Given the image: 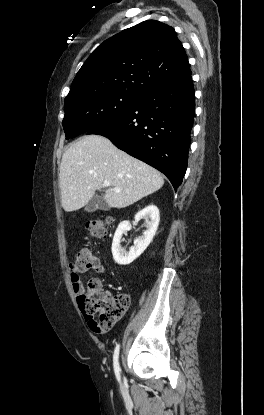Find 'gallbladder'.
I'll use <instances>...</instances> for the list:
<instances>
[{
  "label": "gallbladder",
  "instance_id": "1",
  "mask_svg": "<svg viewBox=\"0 0 264 415\" xmlns=\"http://www.w3.org/2000/svg\"><path fill=\"white\" fill-rule=\"evenodd\" d=\"M108 208V204L100 196H94L85 206L87 212H94L97 209L107 210Z\"/></svg>",
  "mask_w": 264,
  "mask_h": 415
}]
</instances>
